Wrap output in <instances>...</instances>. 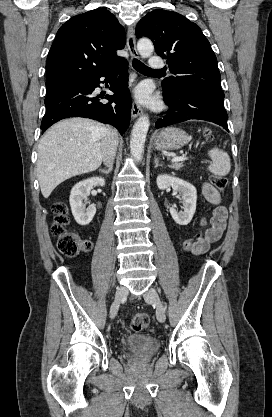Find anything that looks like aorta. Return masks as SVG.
Returning <instances> with one entry per match:
<instances>
[{"label": "aorta", "instance_id": "762f6f07", "mask_svg": "<svg viewBox=\"0 0 272 417\" xmlns=\"http://www.w3.org/2000/svg\"><path fill=\"white\" fill-rule=\"evenodd\" d=\"M137 49L142 57H149L154 51V46L149 39L143 38L138 41ZM149 126V118L145 115L141 116L133 126L130 139V151L132 157L137 161H141L143 157Z\"/></svg>", "mask_w": 272, "mask_h": 417}]
</instances>
